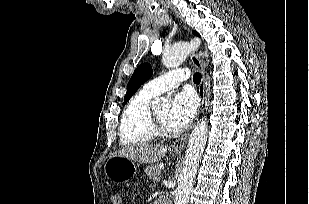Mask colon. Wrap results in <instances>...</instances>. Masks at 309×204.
I'll return each mask as SVG.
<instances>
[{
    "mask_svg": "<svg viewBox=\"0 0 309 204\" xmlns=\"http://www.w3.org/2000/svg\"><path fill=\"white\" fill-rule=\"evenodd\" d=\"M112 204H121V195L118 192H114L111 196Z\"/></svg>",
    "mask_w": 309,
    "mask_h": 204,
    "instance_id": "5ec220e1",
    "label": "colon"
}]
</instances>
